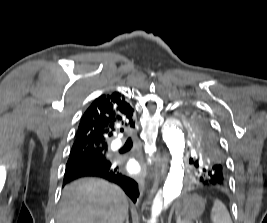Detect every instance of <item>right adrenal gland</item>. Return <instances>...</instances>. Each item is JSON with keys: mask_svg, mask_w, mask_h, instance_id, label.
<instances>
[{"mask_svg": "<svg viewBox=\"0 0 267 223\" xmlns=\"http://www.w3.org/2000/svg\"><path fill=\"white\" fill-rule=\"evenodd\" d=\"M126 223H129V216H126Z\"/></svg>", "mask_w": 267, "mask_h": 223, "instance_id": "right-adrenal-gland-1", "label": "right adrenal gland"}]
</instances>
